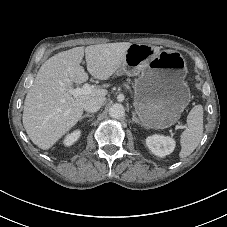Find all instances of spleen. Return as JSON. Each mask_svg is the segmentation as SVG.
Instances as JSON below:
<instances>
[{
	"instance_id": "3e777b00",
	"label": "spleen",
	"mask_w": 227,
	"mask_h": 227,
	"mask_svg": "<svg viewBox=\"0 0 227 227\" xmlns=\"http://www.w3.org/2000/svg\"><path fill=\"white\" fill-rule=\"evenodd\" d=\"M203 134V107L196 105L187 117V127L180 137V158L189 156L199 145Z\"/></svg>"
}]
</instances>
